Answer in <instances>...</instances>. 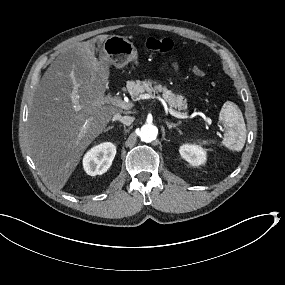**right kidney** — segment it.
I'll use <instances>...</instances> for the list:
<instances>
[{
    "label": "right kidney",
    "instance_id": "1",
    "mask_svg": "<svg viewBox=\"0 0 285 285\" xmlns=\"http://www.w3.org/2000/svg\"><path fill=\"white\" fill-rule=\"evenodd\" d=\"M116 155V147L103 143L91 149L84 158V169L87 174L96 176L105 173Z\"/></svg>",
    "mask_w": 285,
    "mask_h": 285
}]
</instances>
